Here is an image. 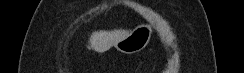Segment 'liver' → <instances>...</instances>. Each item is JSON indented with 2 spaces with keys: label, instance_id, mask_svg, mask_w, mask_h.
Wrapping results in <instances>:
<instances>
[{
  "label": "liver",
  "instance_id": "6515ba94",
  "mask_svg": "<svg viewBox=\"0 0 244 73\" xmlns=\"http://www.w3.org/2000/svg\"><path fill=\"white\" fill-rule=\"evenodd\" d=\"M130 31L128 30H113V31H96L93 32L89 39L88 49H93L98 53H103L109 50L119 40L126 37Z\"/></svg>",
  "mask_w": 244,
  "mask_h": 73
}]
</instances>
